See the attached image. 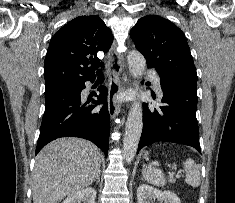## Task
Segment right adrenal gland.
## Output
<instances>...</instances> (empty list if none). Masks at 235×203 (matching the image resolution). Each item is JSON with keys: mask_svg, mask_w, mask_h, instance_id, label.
<instances>
[{"mask_svg": "<svg viewBox=\"0 0 235 203\" xmlns=\"http://www.w3.org/2000/svg\"><path fill=\"white\" fill-rule=\"evenodd\" d=\"M94 181H96L97 183L100 182V173L98 174V176L96 177V179Z\"/></svg>", "mask_w": 235, "mask_h": 203, "instance_id": "2a0ac1e0", "label": "right adrenal gland"}]
</instances>
